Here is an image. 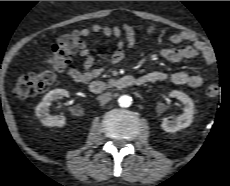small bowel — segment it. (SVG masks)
Masks as SVG:
<instances>
[{
  "label": "small bowel",
  "instance_id": "1",
  "mask_svg": "<svg viewBox=\"0 0 230 186\" xmlns=\"http://www.w3.org/2000/svg\"><path fill=\"white\" fill-rule=\"evenodd\" d=\"M157 31L156 26H150L147 30L149 34H154ZM81 35L87 36L94 33H102L106 37L116 39V47L109 57V64H117L125 57V46H132L136 42V32L133 27L125 25L119 26H103L93 25L88 28H83L79 31ZM168 40L173 44L189 42L190 44L183 48H163L160 50V55L170 62H179L185 59L201 57L208 67H212L216 63L214 52L204 43L199 41L196 36L188 32H177L169 35ZM80 56L83 58L81 69L68 67L65 69L66 74L75 82L88 83L97 78L103 72V67H95V59L88 48H83L80 51ZM51 58H49L50 61ZM144 83H155L169 81L174 84L188 85L190 87H199L207 79L206 74H191L187 71H178L167 73L163 71H150L141 76Z\"/></svg>",
  "mask_w": 230,
  "mask_h": 186
}]
</instances>
